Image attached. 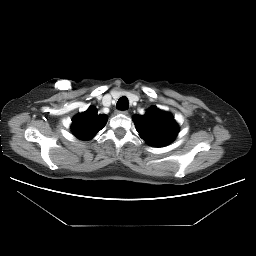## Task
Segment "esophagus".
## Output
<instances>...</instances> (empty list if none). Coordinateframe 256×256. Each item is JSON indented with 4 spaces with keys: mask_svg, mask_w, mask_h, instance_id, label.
Listing matches in <instances>:
<instances>
[{
    "mask_svg": "<svg viewBox=\"0 0 256 256\" xmlns=\"http://www.w3.org/2000/svg\"><path fill=\"white\" fill-rule=\"evenodd\" d=\"M117 113L123 114V115H128V111H126V110H124V111H117Z\"/></svg>",
    "mask_w": 256,
    "mask_h": 256,
    "instance_id": "esophagus-1",
    "label": "esophagus"
}]
</instances>
